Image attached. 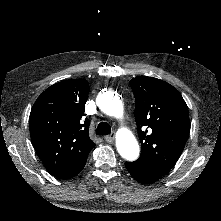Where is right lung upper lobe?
<instances>
[{
    "label": "right lung upper lobe",
    "mask_w": 221,
    "mask_h": 221,
    "mask_svg": "<svg viewBox=\"0 0 221 221\" xmlns=\"http://www.w3.org/2000/svg\"><path fill=\"white\" fill-rule=\"evenodd\" d=\"M88 93L86 80H66L47 88L32 107L33 146L47 171L59 179L76 176L95 147L88 135L90 121H81Z\"/></svg>",
    "instance_id": "cb5924a9"
}]
</instances>
